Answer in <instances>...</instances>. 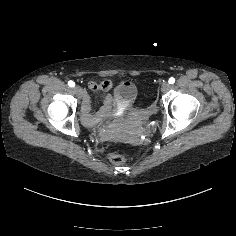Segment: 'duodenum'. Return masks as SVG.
Listing matches in <instances>:
<instances>
[{"instance_id": "obj_1", "label": "duodenum", "mask_w": 236, "mask_h": 236, "mask_svg": "<svg viewBox=\"0 0 236 236\" xmlns=\"http://www.w3.org/2000/svg\"><path fill=\"white\" fill-rule=\"evenodd\" d=\"M111 105V97L106 96L104 106L100 109L96 114H91V106L89 102V96L87 94L84 95L83 98V121L88 126H93L101 121L109 112Z\"/></svg>"}]
</instances>
